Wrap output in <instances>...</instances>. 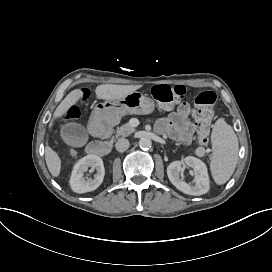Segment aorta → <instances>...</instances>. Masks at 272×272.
Masks as SVG:
<instances>
[{"label": "aorta", "instance_id": "obj_1", "mask_svg": "<svg viewBox=\"0 0 272 272\" xmlns=\"http://www.w3.org/2000/svg\"><path fill=\"white\" fill-rule=\"evenodd\" d=\"M139 145L142 149H150L152 146V141L149 138H141Z\"/></svg>", "mask_w": 272, "mask_h": 272}]
</instances>
